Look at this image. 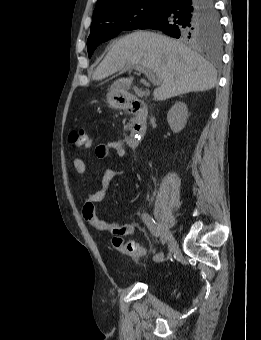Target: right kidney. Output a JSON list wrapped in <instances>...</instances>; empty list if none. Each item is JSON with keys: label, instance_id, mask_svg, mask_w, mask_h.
I'll return each instance as SVG.
<instances>
[{"label": "right kidney", "instance_id": "obj_1", "mask_svg": "<svg viewBox=\"0 0 261 340\" xmlns=\"http://www.w3.org/2000/svg\"><path fill=\"white\" fill-rule=\"evenodd\" d=\"M188 108L184 102H176L168 111L167 120L173 133H179L186 125Z\"/></svg>", "mask_w": 261, "mask_h": 340}]
</instances>
